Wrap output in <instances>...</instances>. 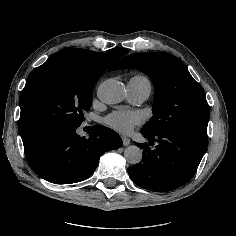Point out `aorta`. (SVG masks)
Segmentation results:
<instances>
[{
  "instance_id": "obj_1",
  "label": "aorta",
  "mask_w": 236,
  "mask_h": 236,
  "mask_svg": "<svg viewBox=\"0 0 236 236\" xmlns=\"http://www.w3.org/2000/svg\"><path fill=\"white\" fill-rule=\"evenodd\" d=\"M97 96L108 105L119 103L124 97V86L113 79L105 80L98 87ZM124 157L128 163L138 164L142 160V151L139 147L131 145L125 149Z\"/></svg>"
}]
</instances>
